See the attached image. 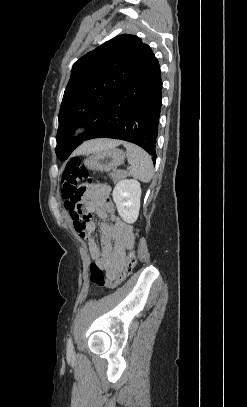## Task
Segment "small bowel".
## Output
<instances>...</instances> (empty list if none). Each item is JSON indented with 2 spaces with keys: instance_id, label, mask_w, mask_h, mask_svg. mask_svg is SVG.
Masks as SVG:
<instances>
[{
  "instance_id": "small-bowel-1",
  "label": "small bowel",
  "mask_w": 247,
  "mask_h": 407,
  "mask_svg": "<svg viewBox=\"0 0 247 407\" xmlns=\"http://www.w3.org/2000/svg\"><path fill=\"white\" fill-rule=\"evenodd\" d=\"M64 208L91 258L108 279H116L127 263V251L133 247L134 235L131 227L116 215L110 199V187L105 184L92 186L86 191L82 202L73 204L66 200ZM93 214L102 220L100 246L95 234Z\"/></svg>"
}]
</instances>
